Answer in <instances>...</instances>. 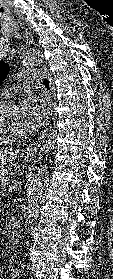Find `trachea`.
Masks as SVG:
<instances>
[{"label":"trachea","instance_id":"1","mask_svg":"<svg viewBox=\"0 0 113 279\" xmlns=\"http://www.w3.org/2000/svg\"><path fill=\"white\" fill-rule=\"evenodd\" d=\"M43 84L45 85V87L47 88L49 87V82L47 79H44Z\"/></svg>","mask_w":113,"mask_h":279}]
</instances>
